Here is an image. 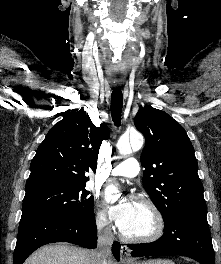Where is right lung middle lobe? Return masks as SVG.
<instances>
[{
	"mask_svg": "<svg viewBox=\"0 0 221 264\" xmlns=\"http://www.w3.org/2000/svg\"><path fill=\"white\" fill-rule=\"evenodd\" d=\"M21 218H82L94 213L85 185L50 183L26 189Z\"/></svg>",
	"mask_w": 221,
	"mask_h": 264,
	"instance_id": "1",
	"label": "right lung middle lobe"
}]
</instances>
